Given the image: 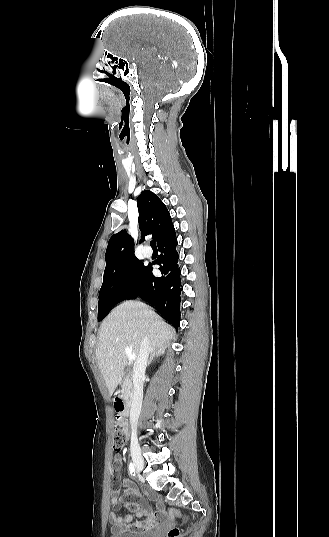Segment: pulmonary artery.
Segmentation results:
<instances>
[{"instance_id": "e3ab8cb5", "label": "pulmonary artery", "mask_w": 329, "mask_h": 537, "mask_svg": "<svg viewBox=\"0 0 329 537\" xmlns=\"http://www.w3.org/2000/svg\"><path fill=\"white\" fill-rule=\"evenodd\" d=\"M143 254L146 257H150L152 255V249L150 247H144L143 248Z\"/></svg>"}]
</instances>
